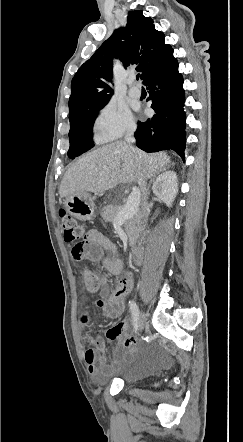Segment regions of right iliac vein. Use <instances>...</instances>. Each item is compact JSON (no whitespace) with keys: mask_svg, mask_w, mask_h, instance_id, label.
<instances>
[{"mask_svg":"<svg viewBox=\"0 0 243 442\" xmlns=\"http://www.w3.org/2000/svg\"><path fill=\"white\" fill-rule=\"evenodd\" d=\"M145 321H146V317H145L144 313L142 311H140L138 321H137V327L140 331H142Z\"/></svg>","mask_w":243,"mask_h":442,"instance_id":"1","label":"right iliac vein"}]
</instances>
